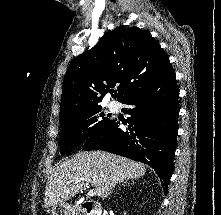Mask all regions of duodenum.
<instances>
[{
    "label": "duodenum",
    "instance_id": "410a0bca",
    "mask_svg": "<svg viewBox=\"0 0 221 215\" xmlns=\"http://www.w3.org/2000/svg\"><path fill=\"white\" fill-rule=\"evenodd\" d=\"M82 210L86 215H101V206L95 201H87L82 205Z\"/></svg>",
    "mask_w": 221,
    "mask_h": 215
}]
</instances>
